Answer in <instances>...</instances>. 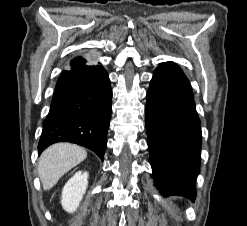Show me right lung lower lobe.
Returning a JSON list of instances; mask_svg holds the SVG:
<instances>
[{"instance_id":"right-lung-lower-lobe-1","label":"right lung lower lobe","mask_w":247,"mask_h":226,"mask_svg":"<svg viewBox=\"0 0 247 226\" xmlns=\"http://www.w3.org/2000/svg\"><path fill=\"white\" fill-rule=\"evenodd\" d=\"M112 91L102 65L81 56L73 58L60 75L38 150L56 142H71L104 159L111 116Z\"/></svg>"}]
</instances>
